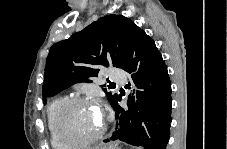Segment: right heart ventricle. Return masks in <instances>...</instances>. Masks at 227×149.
<instances>
[{"label":"right heart ventricle","mask_w":227,"mask_h":149,"mask_svg":"<svg viewBox=\"0 0 227 149\" xmlns=\"http://www.w3.org/2000/svg\"><path fill=\"white\" fill-rule=\"evenodd\" d=\"M65 101V98H54L47 107V125L50 134L51 145L53 149H66V145L60 141L55 129V115L59 106Z\"/></svg>","instance_id":"right-heart-ventricle-1"}]
</instances>
